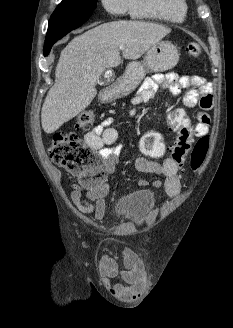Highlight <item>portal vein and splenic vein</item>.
I'll list each match as a JSON object with an SVG mask.
<instances>
[{"instance_id": "obj_1", "label": "portal vein and splenic vein", "mask_w": 233, "mask_h": 328, "mask_svg": "<svg viewBox=\"0 0 233 328\" xmlns=\"http://www.w3.org/2000/svg\"><path fill=\"white\" fill-rule=\"evenodd\" d=\"M124 48H125L124 45H120V46H119V49H120V50H124Z\"/></svg>"}]
</instances>
